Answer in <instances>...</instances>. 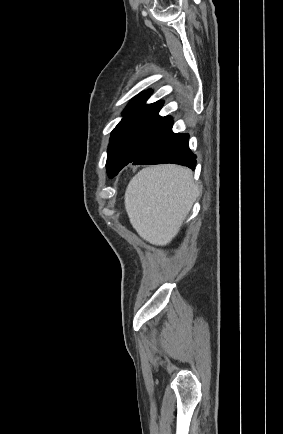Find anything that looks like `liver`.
Listing matches in <instances>:
<instances>
[{
	"label": "liver",
	"instance_id": "obj_1",
	"mask_svg": "<svg viewBox=\"0 0 283 434\" xmlns=\"http://www.w3.org/2000/svg\"><path fill=\"white\" fill-rule=\"evenodd\" d=\"M198 194L190 169L170 164L149 166L130 180L125 209L142 239L165 246L178 234Z\"/></svg>",
	"mask_w": 283,
	"mask_h": 434
}]
</instances>
